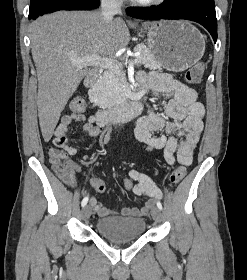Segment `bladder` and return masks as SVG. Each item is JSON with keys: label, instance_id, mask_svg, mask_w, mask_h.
<instances>
[{"label": "bladder", "instance_id": "31cf9c89", "mask_svg": "<svg viewBox=\"0 0 247 280\" xmlns=\"http://www.w3.org/2000/svg\"><path fill=\"white\" fill-rule=\"evenodd\" d=\"M97 233L114 242L131 241L140 238L146 229L143 218L111 216L96 222Z\"/></svg>", "mask_w": 247, "mask_h": 280}]
</instances>
